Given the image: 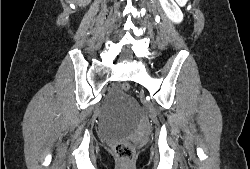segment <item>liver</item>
I'll use <instances>...</instances> for the list:
<instances>
[{
    "label": "liver",
    "instance_id": "6515ba94",
    "mask_svg": "<svg viewBox=\"0 0 250 169\" xmlns=\"http://www.w3.org/2000/svg\"><path fill=\"white\" fill-rule=\"evenodd\" d=\"M75 2H78L79 6H86L91 0H75Z\"/></svg>",
    "mask_w": 250,
    "mask_h": 169
}]
</instances>
